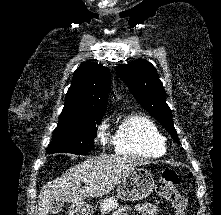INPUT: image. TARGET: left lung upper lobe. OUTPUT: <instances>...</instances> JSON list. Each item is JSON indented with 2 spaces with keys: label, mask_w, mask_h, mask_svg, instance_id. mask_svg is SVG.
<instances>
[{
  "label": "left lung upper lobe",
  "mask_w": 221,
  "mask_h": 215,
  "mask_svg": "<svg viewBox=\"0 0 221 215\" xmlns=\"http://www.w3.org/2000/svg\"><path fill=\"white\" fill-rule=\"evenodd\" d=\"M117 73L140 105L179 143L171 110L166 103L165 90L155 67L144 59H138L126 65H118Z\"/></svg>",
  "instance_id": "1"
}]
</instances>
